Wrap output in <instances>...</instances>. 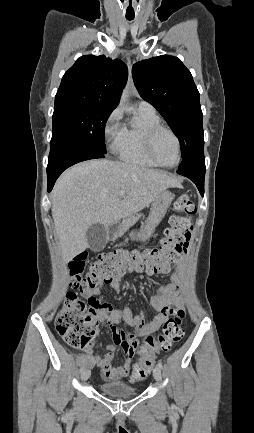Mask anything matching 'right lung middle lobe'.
I'll return each instance as SVG.
<instances>
[{
    "mask_svg": "<svg viewBox=\"0 0 254 433\" xmlns=\"http://www.w3.org/2000/svg\"><path fill=\"white\" fill-rule=\"evenodd\" d=\"M112 111L113 109L94 103L71 102L55 105L50 147L70 140L87 149L105 154V124Z\"/></svg>",
    "mask_w": 254,
    "mask_h": 433,
    "instance_id": "obj_1",
    "label": "right lung middle lobe"
}]
</instances>
